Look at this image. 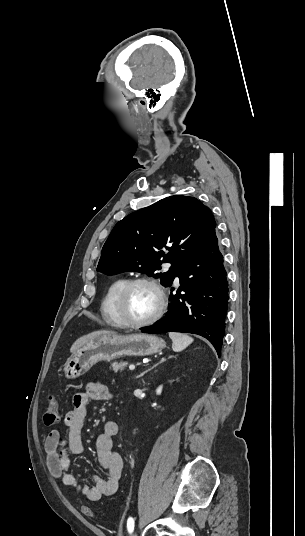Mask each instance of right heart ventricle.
<instances>
[{
	"label": "right heart ventricle",
	"mask_w": 305,
	"mask_h": 536,
	"mask_svg": "<svg viewBox=\"0 0 305 536\" xmlns=\"http://www.w3.org/2000/svg\"><path fill=\"white\" fill-rule=\"evenodd\" d=\"M126 282L127 278L125 277H119L112 281L101 302V317L108 325L113 327L122 326V320L120 319L116 308V300L119 291Z\"/></svg>",
	"instance_id": "e07e8e85"
}]
</instances>
